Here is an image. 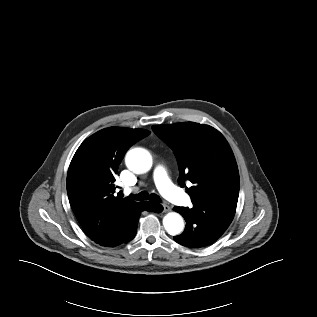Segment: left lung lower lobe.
Returning a JSON list of instances; mask_svg holds the SVG:
<instances>
[{
    "mask_svg": "<svg viewBox=\"0 0 317 317\" xmlns=\"http://www.w3.org/2000/svg\"><path fill=\"white\" fill-rule=\"evenodd\" d=\"M175 211L184 217L186 227L174 240L191 248H201L215 242L228 228L235 214L233 209L202 203L193 208L175 207Z\"/></svg>",
    "mask_w": 317,
    "mask_h": 317,
    "instance_id": "obj_1",
    "label": "left lung lower lobe"
}]
</instances>
